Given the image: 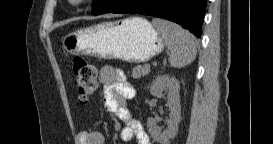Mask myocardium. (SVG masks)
<instances>
[{
    "label": "myocardium",
    "mask_w": 273,
    "mask_h": 144,
    "mask_svg": "<svg viewBox=\"0 0 273 144\" xmlns=\"http://www.w3.org/2000/svg\"><path fill=\"white\" fill-rule=\"evenodd\" d=\"M72 2L75 4H80V3L87 2V0H72Z\"/></svg>",
    "instance_id": "obj_1"
}]
</instances>
